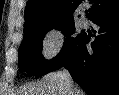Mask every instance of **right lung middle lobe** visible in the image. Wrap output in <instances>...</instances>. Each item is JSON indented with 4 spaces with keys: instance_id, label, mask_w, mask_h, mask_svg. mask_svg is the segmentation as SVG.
<instances>
[{
    "instance_id": "1",
    "label": "right lung middle lobe",
    "mask_w": 119,
    "mask_h": 95,
    "mask_svg": "<svg viewBox=\"0 0 119 95\" xmlns=\"http://www.w3.org/2000/svg\"><path fill=\"white\" fill-rule=\"evenodd\" d=\"M51 29H59L67 36L60 53L52 60L46 61L42 56V41ZM75 32L74 21H62L44 24L24 33V39L19 47V69L33 76H43L63 58L71 46L81 37H71Z\"/></svg>"
}]
</instances>
